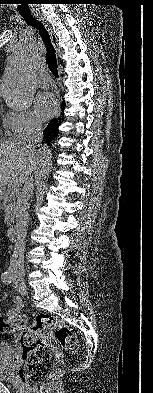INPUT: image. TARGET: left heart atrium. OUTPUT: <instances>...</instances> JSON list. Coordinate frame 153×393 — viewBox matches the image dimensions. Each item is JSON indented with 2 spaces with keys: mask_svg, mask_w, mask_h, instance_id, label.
Listing matches in <instances>:
<instances>
[{
  "mask_svg": "<svg viewBox=\"0 0 153 393\" xmlns=\"http://www.w3.org/2000/svg\"><path fill=\"white\" fill-rule=\"evenodd\" d=\"M35 107L36 112L41 119H48L57 109L56 98L50 92H42L36 98Z\"/></svg>",
  "mask_w": 153,
  "mask_h": 393,
  "instance_id": "1",
  "label": "left heart atrium"
}]
</instances>
